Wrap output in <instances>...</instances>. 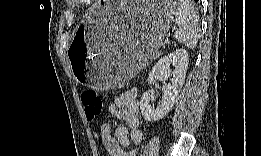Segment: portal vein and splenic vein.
<instances>
[{
	"label": "portal vein and splenic vein",
	"instance_id": "1",
	"mask_svg": "<svg viewBox=\"0 0 261 156\" xmlns=\"http://www.w3.org/2000/svg\"><path fill=\"white\" fill-rule=\"evenodd\" d=\"M165 43H166V44L169 43V40H168V39H165Z\"/></svg>",
	"mask_w": 261,
	"mask_h": 156
}]
</instances>
